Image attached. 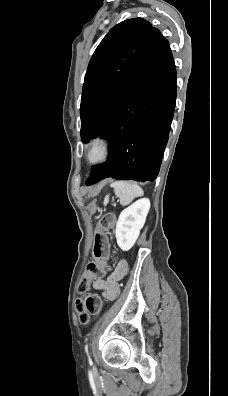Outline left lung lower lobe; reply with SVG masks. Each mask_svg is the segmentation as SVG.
Listing matches in <instances>:
<instances>
[{
    "instance_id": "0a47b994",
    "label": "left lung lower lobe",
    "mask_w": 228,
    "mask_h": 396,
    "mask_svg": "<svg viewBox=\"0 0 228 396\" xmlns=\"http://www.w3.org/2000/svg\"><path fill=\"white\" fill-rule=\"evenodd\" d=\"M176 88L173 56L168 41L160 35L100 135L111 142L109 159L92 167L86 185L108 177L155 180L169 137Z\"/></svg>"
}]
</instances>
